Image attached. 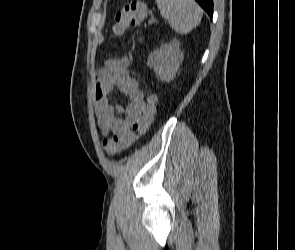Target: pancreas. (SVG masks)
Returning a JSON list of instances; mask_svg holds the SVG:
<instances>
[{"instance_id": "pancreas-1", "label": "pancreas", "mask_w": 295, "mask_h": 250, "mask_svg": "<svg viewBox=\"0 0 295 250\" xmlns=\"http://www.w3.org/2000/svg\"><path fill=\"white\" fill-rule=\"evenodd\" d=\"M153 22H155V19L153 17H151V19L149 20V24H152Z\"/></svg>"}]
</instances>
